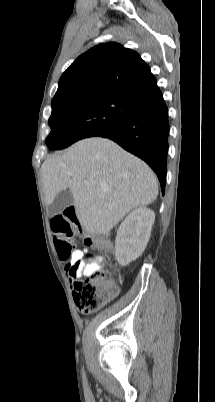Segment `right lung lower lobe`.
<instances>
[{
    "label": "right lung lower lobe",
    "mask_w": 215,
    "mask_h": 402,
    "mask_svg": "<svg viewBox=\"0 0 215 402\" xmlns=\"http://www.w3.org/2000/svg\"><path fill=\"white\" fill-rule=\"evenodd\" d=\"M97 136L115 141L144 160L156 173L164 194L169 122L162 93L139 101L125 120Z\"/></svg>",
    "instance_id": "obj_1"
}]
</instances>
